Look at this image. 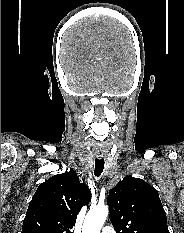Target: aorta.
<instances>
[{
    "label": "aorta",
    "mask_w": 184,
    "mask_h": 233,
    "mask_svg": "<svg viewBox=\"0 0 184 233\" xmlns=\"http://www.w3.org/2000/svg\"><path fill=\"white\" fill-rule=\"evenodd\" d=\"M108 212L109 210L106 205H99L91 209L86 215L82 233H100Z\"/></svg>",
    "instance_id": "aorta-1"
}]
</instances>
